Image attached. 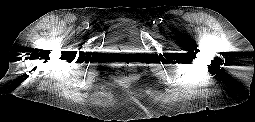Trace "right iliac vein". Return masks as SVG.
<instances>
[{
    "mask_svg": "<svg viewBox=\"0 0 255 122\" xmlns=\"http://www.w3.org/2000/svg\"><path fill=\"white\" fill-rule=\"evenodd\" d=\"M89 30L92 31V30H93V27L91 26V27L89 28Z\"/></svg>",
    "mask_w": 255,
    "mask_h": 122,
    "instance_id": "obj_1",
    "label": "right iliac vein"
}]
</instances>
